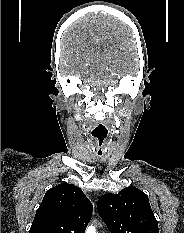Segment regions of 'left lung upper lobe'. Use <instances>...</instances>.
<instances>
[{
	"label": "left lung upper lobe",
	"instance_id": "left-lung-upper-lobe-1",
	"mask_svg": "<svg viewBox=\"0 0 184 233\" xmlns=\"http://www.w3.org/2000/svg\"><path fill=\"white\" fill-rule=\"evenodd\" d=\"M97 208L111 233H159L148 196L136 187L101 196Z\"/></svg>",
	"mask_w": 184,
	"mask_h": 233
}]
</instances>
